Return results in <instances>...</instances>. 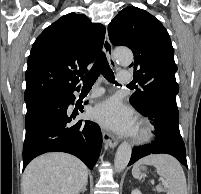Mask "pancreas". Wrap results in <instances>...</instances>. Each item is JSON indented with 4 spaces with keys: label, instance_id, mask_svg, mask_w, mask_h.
<instances>
[{
    "label": "pancreas",
    "instance_id": "cf45deb5",
    "mask_svg": "<svg viewBox=\"0 0 201 194\" xmlns=\"http://www.w3.org/2000/svg\"><path fill=\"white\" fill-rule=\"evenodd\" d=\"M154 190L157 191V192H162L163 191V189L160 186H157Z\"/></svg>",
    "mask_w": 201,
    "mask_h": 194
}]
</instances>
